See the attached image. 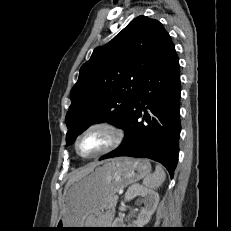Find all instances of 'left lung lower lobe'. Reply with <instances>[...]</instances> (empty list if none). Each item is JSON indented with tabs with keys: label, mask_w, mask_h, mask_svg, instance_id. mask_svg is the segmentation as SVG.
<instances>
[{
	"label": "left lung lower lobe",
	"mask_w": 231,
	"mask_h": 231,
	"mask_svg": "<svg viewBox=\"0 0 231 231\" xmlns=\"http://www.w3.org/2000/svg\"><path fill=\"white\" fill-rule=\"evenodd\" d=\"M141 83V90L120 126L125 131L123 142L100 160L118 156L150 158L163 164L173 177L181 130L180 73L169 34Z\"/></svg>",
	"instance_id": "0a47b994"
}]
</instances>
